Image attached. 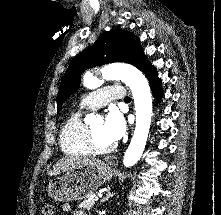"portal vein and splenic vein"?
I'll use <instances>...</instances> for the list:
<instances>
[{
  "instance_id": "1",
  "label": "portal vein and splenic vein",
  "mask_w": 221,
  "mask_h": 215,
  "mask_svg": "<svg viewBox=\"0 0 221 215\" xmlns=\"http://www.w3.org/2000/svg\"><path fill=\"white\" fill-rule=\"evenodd\" d=\"M93 199H94L95 201H98V200H99V197L94 196Z\"/></svg>"
}]
</instances>
